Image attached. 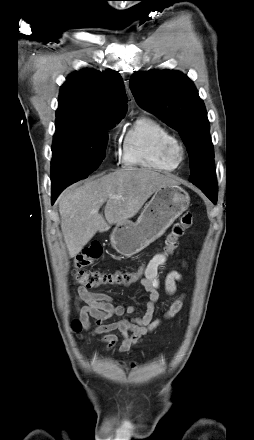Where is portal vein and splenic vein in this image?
Instances as JSON below:
<instances>
[{
	"mask_svg": "<svg viewBox=\"0 0 254 440\" xmlns=\"http://www.w3.org/2000/svg\"><path fill=\"white\" fill-rule=\"evenodd\" d=\"M111 198H114V199H121L122 197L121 196H117V195H112V196H110Z\"/></svg>",
	"mask_w": 254,
	"mask_h": 440,
	"instance_id": "portal-vein-and-splenic-vein-1",
	"label": "portal vein and splenic vein"
}]
</instances>
